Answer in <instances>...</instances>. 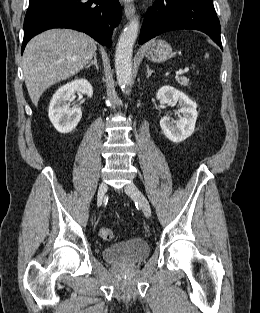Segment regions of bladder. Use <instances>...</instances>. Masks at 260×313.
Here are the masks:
<instances>
[{
	"label": "bladder",
	"mask_w": 260,
	"mask_h": 313,
	"mask_svg": "<svg viewBox=\"0 0 260 313\" xmlns=\"http://www.w3.org/2000/svg\"><path fill=\"white\" fill-rule=\"evenodd\" d=\"M149 253L150 247L146 240L132 237L106 247L102 257L109 262L133 264L147 258Z\"/></svg>",
	"instance_id": "obj_1"
}]
</instances>
